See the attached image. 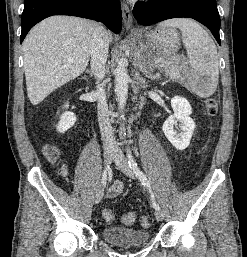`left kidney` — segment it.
Returning <instances> with one entry per match:
<instances>
[{"label":"left kidney","instance_id":"1","mask_svg":"<svg viewBox=\"0 0 247 257\" xmlns=\"http://www.w3.org/2000/svg\"><path fill=\"white\" fill-rule=\"evenodd\" d=\"M171 106L174 114L164 122L163 132L177 150H184L189 146L195 129V123L190 117L192 108L187 99L180 96H175L171 99ZM178 122L180 124V133L174 130Z\"/></svg>","mask_w":247,"mask_h":257}]
</instances>
